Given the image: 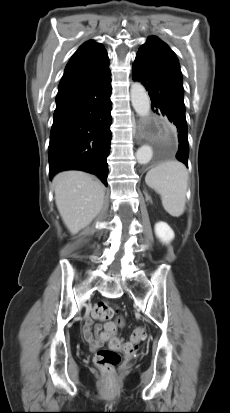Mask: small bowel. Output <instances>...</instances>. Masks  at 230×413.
I'll use <instances>...</instances> for the list:
<instances>
[{"instance_id": "c3829d8e", "label": "small bowel", "mask_w": 230, "mask_h": 413, "mask_svg": "<svg viewBox=\"0 0 230 413\" xmlns=\"http://www.w3.org/2000/svg\"><path fill=\"white\" fill-rule=\"evenodd\" d=\"M122 323V319L119 318L116 321L107 322L104 325H94L93 320L88 318L83 328V334L91 345L99 346L101 343L108 342L110 332L116 333L117 328L121 326Z\"/></svg>"}]
</instances>
